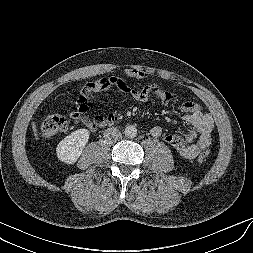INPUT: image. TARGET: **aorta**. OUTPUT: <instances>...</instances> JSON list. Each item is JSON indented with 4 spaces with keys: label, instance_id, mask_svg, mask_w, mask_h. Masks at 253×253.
Returning <instances> with one entry per match:
<instances>
[{
    "label": "aorta",
    "instance_id": "762f6f07",
    "mask_svg": "<svg viewBox=\"0 0 253 253\" xmlns=\"http://www.w3.org/2000/svg\"><path fill=\"white\" fill-rule=\"evenodd\" d=\"M124 134L127 138H134L137 135V128L133 125L126 126Z\"/></svg>",
    "mask_w": 253,
    "mask_h": 253
}]
</instances>
